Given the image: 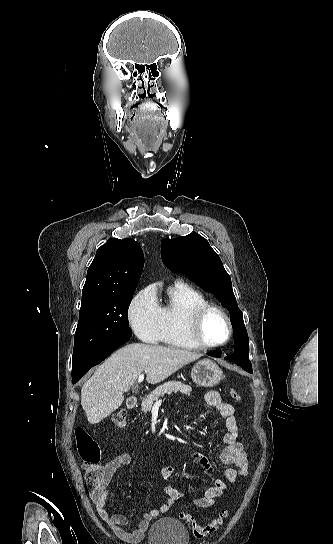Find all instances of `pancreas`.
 <instances>
[{
    "label": "pancreas",
    "mask_w": 333,
    "mask_h": 544,
    "mask_svg": "<svg viewBox=\"0 0 333 544\" xmlns=\"http://www.w3.org/2000/svg\"><path fill=\"white\" fill-rule=\"evenodd\" d=\"M180 391L182 394L190 396L192 391L191 386L185 385L179 381H168L160 386H158L148 397L142 401V411L144 413L150 411L154 402H156L164 394H172Z\"/></svg>",
    "instance_id": "obj_1"
}]
</instances>
